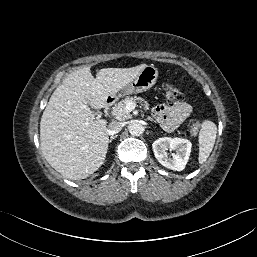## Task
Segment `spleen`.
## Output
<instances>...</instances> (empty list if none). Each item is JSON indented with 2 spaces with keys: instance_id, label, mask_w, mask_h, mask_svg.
I'll return each instance as SVG.
<instances>
[{
  "instance_id": "3e777b00",
  "label": "spleen",
  "mask_w": 257,
  "mask_h": 257,
  "mask_svg": "<svg viewBox=\"0 0 257 257\" xmlns=\"http://www.w3.org/2000/svg\"><path fill=\"white\" fill-rule=\"evenodd\" d=\"M217 127L210 120H205L199 132V163L203 164L209 157L216 140Z\"/></svg>"
}]
</instances>
